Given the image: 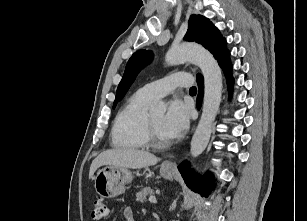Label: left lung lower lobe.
Listing matches in <instances>:
<instances>
[{
	"label": "left lung lower lobe",
	"instance_id": "1",
	"mask_svg": "<svg viewBox=\"0 0 307 221\" xmlns=\"http://www.w3.org/2000/svg\"><path fill=\"white\" fill-rule=\"evenodd\" d=\"M218 63L224 71L227 80L228 91L229 93H231L233 87V78L231 74V63L229 54L224 56ZM197 82L199 86L197 107L200 108L202 101L203 78H197ZM178 169L189 188L207 197V193L211 192V188L213 185V181L211 178H209L208 175L203 178L196 177L193 172L190 171V166L185 162L180 164L178 166Z\"/></svg>",
	"mask_w": 307,
	"mask_h": 221
}]
</instances>
